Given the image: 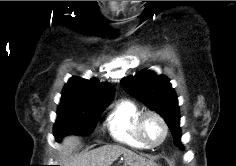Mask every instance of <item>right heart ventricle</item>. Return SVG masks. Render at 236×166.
<instances>
[{"instance_id":"e07e8e85","label":"right heart ventricle","mask_w":236,"mask_h":166,"mask_svg":"<svg viewBox=\"0 0 236 166\" xmlns=\"http://www.w3.org/2000/svg\"><path fill=\"white\" fill-rule=\"evenodd\" d=\"M142 111V108L132 100L124 99L116 102L105 120L111 137L116 142L131 148H146L136 133V121Z\"/></svg>"}]
</instances>
